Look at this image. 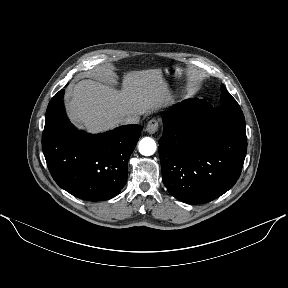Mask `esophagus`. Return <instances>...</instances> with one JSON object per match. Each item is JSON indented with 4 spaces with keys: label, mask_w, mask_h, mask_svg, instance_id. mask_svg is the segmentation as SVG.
<instances>
[{
    "label": "esophagus",
    "mask_w": 288,
    "mask_h": 288,
    "mask_svg": "<svg viewBox=\"0 0 288 288\" xmlns=\"http://www.w3.org/2000/svg\"><path fill=\"white\" fill-rule=\"evenodd\" d=\"M158 128H159V122L156 119H151L146 126V131L149 134H154L157 132Z\"/></svg>",
    "instance_id": "obj_1"
}]
</instances>
